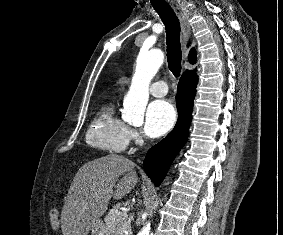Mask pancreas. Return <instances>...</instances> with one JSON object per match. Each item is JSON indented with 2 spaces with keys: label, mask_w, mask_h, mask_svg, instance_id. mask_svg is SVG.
Wrapping results in <instances>:
<instances>
[{
  "label": "pancreas",
  "mask_w": 283,
  "mask_h": 235,
  "mask_svg": "<svg viewBox=\"0 0 283 235\" xmlns=\"http://www.w3.org/2000/svg\"><path fill=\"white\" fill-rule=\"evenodd\" d=\"M121 203L116 204L105 216L104 222L108 235H130L131 234V217L119 209Z\"/></svg>",
  "instance_id": "cf45deb5"
}]
</instances>
